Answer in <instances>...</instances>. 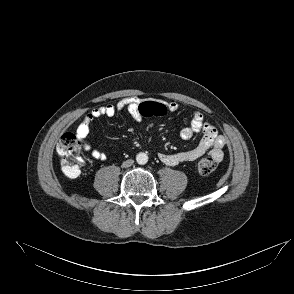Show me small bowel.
<instances>
[{"label":"small bowel","mask_w":294,"mask_h":294,"mask_svg":"<svg viewBox=\"0 0 294 294\" xmlns=\"http://www.w3.org/2000/svg\"><path fill=\"white\" fill-rule=\"evenodd\" d=\"M162 104L166 112H175L178 110L176 102H165L159 100H152ZM142 103V99L137 97H129L119 101L116 104H108L94 108L87 113L83 121L76 129V135L82 142V148L91 154V156L99 161L106 160L105 153L98 149H94L90 143L86 141L90 133L91 123L100 117H112L117 112L124 109L135 110L137 106ZM202 134V139L199 144L191 150L180 151L176 153H158V158L162 163L168 166H175L183 162L196 161L206 153H209L216 161H221L224 157L223 149L226 144L224 136L218 134L216 128L208 122L204 121L203 114L200 111H195L191 120L185 128L180 131V137L184 140L191 139L196 134Z\"/></svg>","instance_id":"1"}]
</instances>
